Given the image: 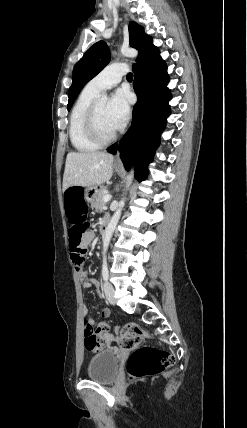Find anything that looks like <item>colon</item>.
Listing matches in <instances>:
<instances>
[{"mask_svg":"<svg viewBox=\"0 0 247 428\" xmlns=\"http://www.w3.org/2000/svg\"><path fill=\"white\" fill-rule=\"evenodd\" d=\"M64 217H67L69 226H72L69 239L70 247L74 252L79 266L83 264L84 250L79 248L86 227L90 226V217H87L85 199L82 190L78 187H70L64 195ZM84 305H89V300H84ZM105 308V305H102ZM102 318L108 319L111 315L110 309H102L99 312ZM84 344L89 351L98 352L107 346L105 334L111 330L110 325L101 324L96 330L92 329V323L88 319H83ZM147 332L136 323L126 324L120 331L118 344L125 350H132L133 353L127 362V371L132 379H141L161 373L174 364V356L166 349L152 346H142Z\"/></svg>","mask_w":247,"mask_h":428,"instance_id":"obj_1","label":"colon"}]
</instances>
